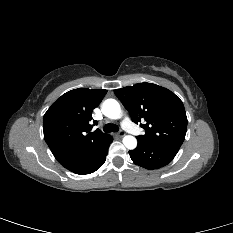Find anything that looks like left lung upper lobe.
<instances>
[{
	"mask_svg": "<svg viewBox=\"0 0 233 233\" xmlns=\"http://www.w3.org/2000/svg\"><path fill=\"white\" fill-rule=\"evenodd\" d=\"M115 95L145 134L137 139L152 144L182 145L187 117L182 101L170 90L152 83H138L117 89Z\"/></svg>",
	"mask_w": 233,
	"mask_h": 233,
	"instance_id": "1",
	"label": "left lung upper lobe"
}]
</instances>
